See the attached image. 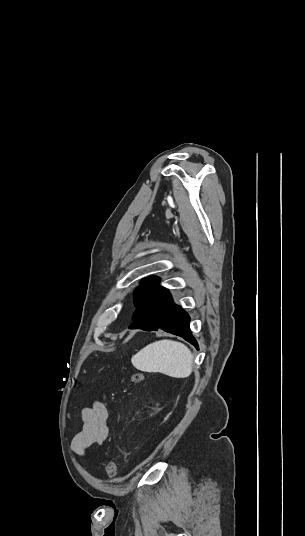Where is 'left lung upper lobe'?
I'll use <instances>...</instances> for the list:
<instances>
[{
	"label": "left lung upper lobe",
	"instance_id": "1",
	"mask_svg": "<svg viewBox=\"0 0 305 536\" xmlns=\"http://www.w3.org/2000/svg\"><path fill=\"white\" fill-rule=\"evenodd\" d=\"M159 281L157 277H151L144 279L142 285L135 290L134 294V304L136 308L140 306L143 302L149 299L151 296L156 294L158 291L163 289L162 286L157 285L155 282Z\"/></svg>",
	"mask_w": 305,
	"mask_h": 536
}]
</instances>
